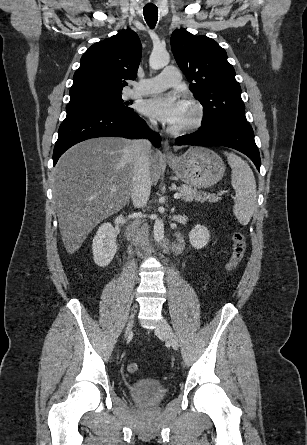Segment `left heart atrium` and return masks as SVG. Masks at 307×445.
I'll return each mask as SVG.
<instances>
[{"label":"left heart atrium","mask_w":307,"mask_h":445,"mask_svg":"<svg viewBox=\"0 0 307 445\" xmlns=\"http://www.w3.org/2000/svg\"><path fill=\"white\" fill-rule=\"evenodd\" d=\"M186 108L187 103L179 93L166 90L146 99L141 106L144 114L169 124L178 122L184 116Z\"/></svg>","instance_id":"39dd6f15"}]
</instances>
